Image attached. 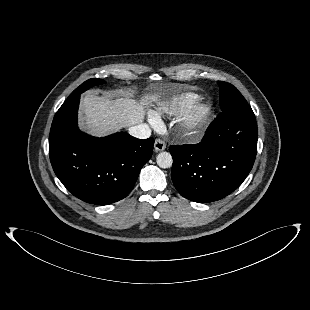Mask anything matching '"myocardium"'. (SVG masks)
I'll list each match as a JSON object with an SVG mask.
<instances>
[{"instance_id": "obj_1", "label": "myocardium", "mask_w": 310, "mask_h": 310, "mask_svg": "<svg viewBox=\"0 0 310 310\" xmlns=\"http://www.w3.org/2000/svg\"><path fill=\"white\" fill-rule=\"evenodd\" d=\"M212 113V106L203 101H196L185 109L179 120V128L183 136L196 137L208 123Z\"/></svg>"}]
</instances>
